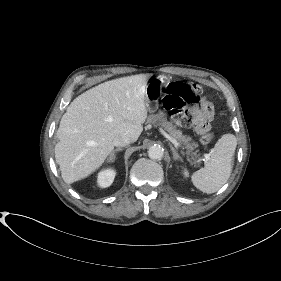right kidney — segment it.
<instances>
[{
	"instance_id": "ca27d5eb",
	"label": "right kidney",
	"mask_w": 281,
	"mask_h": 281,
	"mask_svg": "<svg viewBox=\"0 0 281 281\" xmlns=\"http://www.w3.org/2000/svg\"><path fill=\"white\" fill-rule=\"evenodd\" d=\"M116 172L113 169H104L98 173L97 183L101 188L109 187L115 178Z\"/></svg>"
}]
</instances>
